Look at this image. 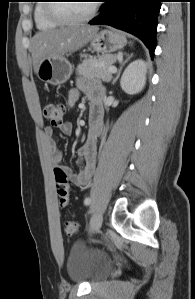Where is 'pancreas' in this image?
Returning a JSON list of instances; mask_svg holds the SVG:
<instances>
[{"mask_svg": "<svg viewBox=\"0 0 195 299\" xmlns=\"http://www.w3.org/2000/svg\"><path fill=\"white\" fill-rule=\"evenodd\" d=\"M117 60L116 55H103L99 58H86L77 66L76 72L79 75L90 79H98L109 82L112 73L108 69L114 66Z\"/></svg>", "mask_w": 195, "mask_h": 299, "instance_id": "1", "label": "pancreas"}]
</instances>
